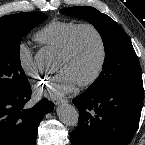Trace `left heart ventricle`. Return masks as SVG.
<instances>
[{"mask_svg": "<svg viewBox=\"0 0 145 145\" xmlns=\"http://www.w3.org/2000/svg\"><path fill=\"white\" fill-rule=\"evenodd\" d=\"M100 51L95 35L88 29L79 32L74 51L68 58L58 57L56 71H68L77 83L88 79L96 69Z\"/></svg>", "mask_w": 145, "mask_h": 145, "instance_id": "b2bd125f", "label": "left heart ventricle"}]
</instances>
